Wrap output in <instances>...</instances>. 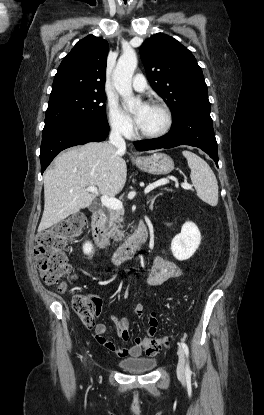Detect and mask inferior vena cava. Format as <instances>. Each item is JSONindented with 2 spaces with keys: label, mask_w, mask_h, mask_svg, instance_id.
Returning a JSON list of instances; mask_svg holds the SVG:
<instances>
[{
  "label": "inferior vena cava",
  "mask_w": 264,
  "mask_h": 415,
  "mask_svg": "<svg viewBox=\"0 0 264 415\" xmlns=\"http://www.w3.org/2000/svg\"><path fill=\"white\" fill-rule=\"evenodd\" d=\"M109 143L113 145L118 152L124 153L126 150V143L121 135L118 127L114 126L109 135Z\"/></svg>",
  "instance_id": "inferior-vena-cava-1"
}]
</instances>
